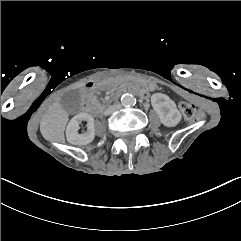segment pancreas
Instances as JSON below:
<instances>
[{"label":"pancreas","mask_w":241,"mask_h":241,"mask_svg":"<svg viewBox=\"0 0 241 241\" xmlns=\"http://www.w3.org/2000/svg\"><path fill=\"white\" fill-rule=\"evenodd\" d=\"M90 101H91L92 104L98 106L100 110H104L106 108V104H103V105L100 104V102L96 99L95 96H92L90 98Z\"/></svg>","instance_id":"obj_1"}]
</instances>
